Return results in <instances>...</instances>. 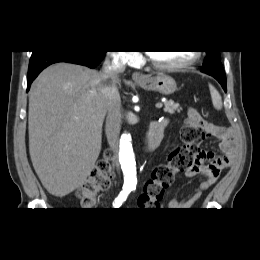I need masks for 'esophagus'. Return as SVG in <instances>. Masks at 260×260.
<instances>
[{"label": "esophagus", "instance_id": "1", "mask_svg": "<svg viewBox=\"0 0 260 260\" xmlns=\"http://www.w3.org/2000/svg\"><path fill=\"white\" fill-rule=\"evenodd\" d=\"M132 78H133V80H142V79H144V76L140 72H134L132 74Z\"/></svg>", "mask_w": 260, "mask_h": 260}]
</instances>
